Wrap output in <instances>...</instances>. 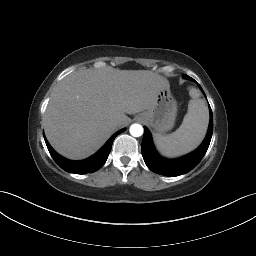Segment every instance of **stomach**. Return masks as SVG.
Returning <instances> with one entry per match:
<instances>
[{"label": "stomach", "mask_w": 256, "mask_h": 256, "mask_svg": "<svg viewBox=\"0 0 256 256\" xmlns=\"http://www.w3.org/2000/svg\"><path fill=\"white\" fill-rule=\"evenodd\" d=\"M177 102L167 83L160 87L151 106L138 119L150 125L160 134L172 129L177 116Z\"/></svg>", "instance_id": "stomach-1"}]
</instances>
